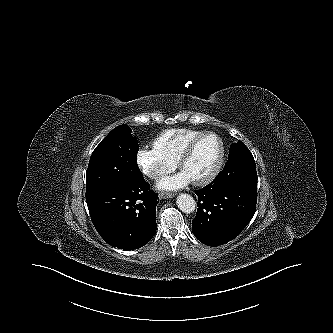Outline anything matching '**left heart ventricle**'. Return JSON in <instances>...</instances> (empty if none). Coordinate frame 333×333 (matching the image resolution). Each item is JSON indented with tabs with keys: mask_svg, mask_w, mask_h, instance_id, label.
Wrapping results in <instances>:
<instances>
[{
	"mask_svg": "<svg viewBox=\"0 0 333 333\" xmlns=\"http://www.w3.org/2000/svg\"><path fill=\"white\" fill-rule=\"evenodd\" d=\"M219 155V142L215 137L204 138L196 147L192 155L184 163L182 172L191 181L207 174L215 164Z\"/></svg>",
	"mask_w": 333,
	"mask_h": 333,
	"instance_id": "left-heart-ventricle-1",
	"label": "left heart ventricle"
}]
</instances>
